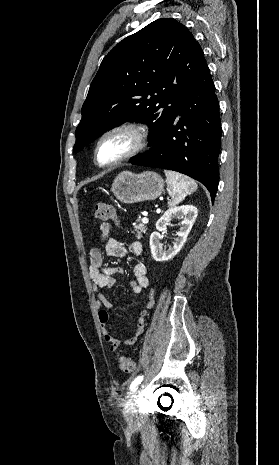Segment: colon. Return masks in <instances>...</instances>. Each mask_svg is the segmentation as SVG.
<instances>
[{
	"instance_id": "obj_1",
	"label": "colon",
	"mask_w": 279,
	"mask_h": 465,
	"mask_svg": "<svg viewBox=\"0 0 279 465\" xmlns=\"http://www.w3.org/2000/svg\"><path fill=\"white\" fill-rule=\"evenodd\" d=\"M95 217L102 221L118 222V216L115 208L111 204L97 203L95 205ZM118 366L121 371L131 373L135 369L133 360L126 355H121L118 358Z\"/></svg>"
}]
</instances>
